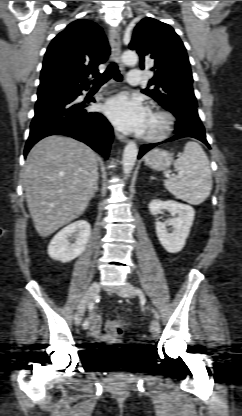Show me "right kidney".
I'll return each instance as SVG.
<instances>
[{"mask_svg": "<svg viewBox=\"0 0 242 416\" xmlns=\"http://www.w3.org/2000/svg\"><path fill=\"white\" fill-rule=\"evenodd\" d=\"M91 235L90 224L79 220L60 230L48 247L49 256L63 263L70 262L81 255Z\"/></svg>", "mask_w": 242, "mask_h": 416, "instance_id": "1", "label": "right kidney"}]
</instances>
